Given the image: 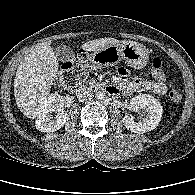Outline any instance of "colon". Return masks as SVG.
Returning <instances> with one entry per match:
<instances>
[{
    "label": "colon",
    "instance_id": "1",
    "mask_svg": "<svg viewBox=\"0 0 195 195\" xmlns=\"http://www.w3.org/2000/svg\"><path fill=\"white\" fill-rule=\"evenodd\" d=\"M86 60V55L82 54L77 60L64 64L58 76L59 83L64 86H72L82 79L87 72ZM152 74L158 81L166 80L163 62L159 56L152 59ZM169 96L174 102H180L183 94L178 88H172Z\"/></svg>",
    "mask_w": 195,
    "mask_h": 195
}]
</instances>
